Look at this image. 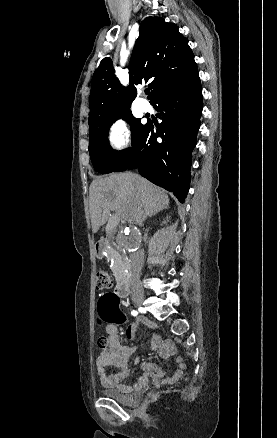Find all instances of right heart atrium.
<instances>
[{
    "instance_id": "right-heart-atrium-1",
    "label": "right heart atrium",
    "mask_w": 277,
    "mask_h": 438,
    "mask_svg": "<svg viewBox=\"0 0 277 438\" xmlns=\"http://www.w3.org/2000/svg\"><path fill=\"white\" fill-rule=\"evenodd\" d=\"M110 136L115 146H127L130 141V130L127 123L122 119L115 121L110 128Z\"/></svg>"
}]
</instances>
